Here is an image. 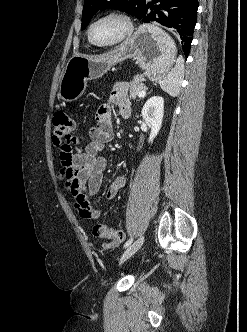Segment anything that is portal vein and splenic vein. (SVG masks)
<instances>
[{
  "label": "portal vein and splenic vein",
  "instance_id": "18ae733b",
  "mask_svg": "<svg viewBox=\"0 0 247 332\" xmlns=\"http://www.w3.org/2000/svg\"><path fill=\"white\" fill-rule=\"evenodd\" d=\"M145 94H146V91L143 90V91L139 92L138 97H143V96H145Z\"/></svg>",
  "mask_w": 247,
  "mask_h": 332
}]
</instances>
